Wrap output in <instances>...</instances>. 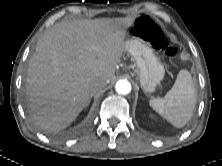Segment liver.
I'll list each match as a JSON object with an SVG mask.
<instances>
[{"mask_svg": "<svg viewBox=\"0 0 222 166\" xmlns=\"http://www.w3.org/2000/svg\"><path fill=\"white\" fill-rule=\"evenodd\" d=\"M135 18L63 21L47 30L29 61L26 95L31 118L45 131L69 126L89 105L92 85L110 81L127 51Z\"/></svg>", "mask_w": 222, "mask_h": 166, "instance_id": "liver-1", "label": "liver"}]
</instances>
